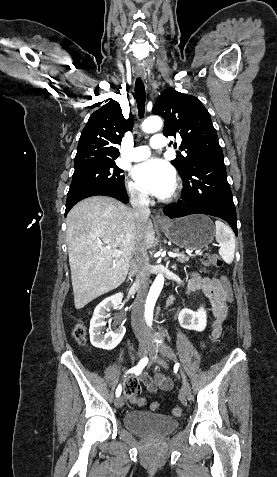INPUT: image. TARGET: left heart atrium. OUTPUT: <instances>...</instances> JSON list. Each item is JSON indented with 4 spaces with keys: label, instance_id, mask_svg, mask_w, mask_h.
Listing matches in <instances>:
<instances>
[{
    "label": "left heart atrium",
    "instance_id": "left-heart-atrium-1",
    "mask_svg": "<svg viewBox=\"0 0 277 477\" xmlns=\"http://www.w3.org/2000/svg\"><path fill=\"white\" fill-rule=\"evenodd\" d=\"M133 175L142 190L160 198L167 197L175 188L174 169L160 159H151L137 165Z\"/></svg>",
    "mask_w": 277,
    "mask_h": 477
}]
</instances>
